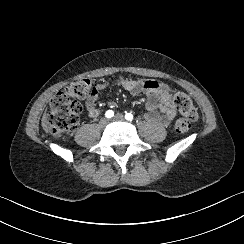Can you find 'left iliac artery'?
Returning <instances> with one entry per match:
<instances>
[{"mask_svg": "<svg viewBox=\"0 0 244 244\" xmlns=\"http://www.w3.org/2000/svg\"><path fill=\"white\" fill-rule=\"evenodd\" d=\"M125 118H126L128 121H132V120H133V115H132L131 113H126Z\"/></svg>", "mask_w": 244, "mask_h": 244, "instance_id": "1", "label": "left iliac artery"}]
</instances>
